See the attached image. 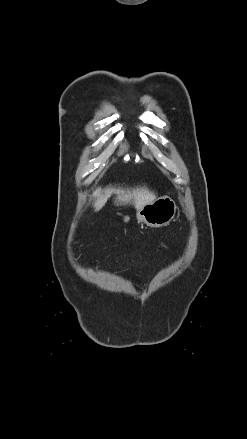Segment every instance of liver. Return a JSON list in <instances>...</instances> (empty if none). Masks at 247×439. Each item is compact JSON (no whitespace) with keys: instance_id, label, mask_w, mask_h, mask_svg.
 <instances>
[{"instance_id":"1","label":"liver","mask_w":247,"mask_h":439,"mask_svg":"<svg viewBox=\"0 0 247 439\" xmlns=\"http://www.w3.org/2000/svg\"><path fill=\"white\" fill-rule=\"evenodd\" d=\"M112 194L116 195L115 203L117 206L132 203L137 210L156 198V195L146 187H137L131 190L114 187H107L105 189L98 188L93 193V197L95 198V211L102 209Z\"/></svg>"}]
</instances>
